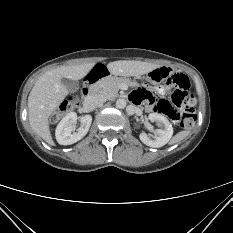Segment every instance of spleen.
<instances>
[{
	"label": "spleen",
	"instance_id": "obj_1",
	"mask_svg": "<svg viewBox=\"0 0 233 233\" xmlns=\"http://www.w3.org/2000/svg\"><path fill=\"white\" fill-rule=\"evenodd\" d=\"M190 135V131L184 130L178 132L172 139L171 144L179 143Z\"/></svg>",
	"mask_w": 233,
	"mask_h": 233
}]
</instances>
